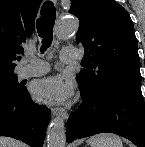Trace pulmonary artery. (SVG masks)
<instances>
[{
	"instance_id": "obj_1",
	"label": "pulmonary artery",
	"mask_w": 145,
	"mask_h": 147,
	"mask_svg": "<svg viewBox=\"0 0 145 147\" xmlns=\"http://www.w3.org/2000/svg\"><path fill=\"white\" fill-rule=\"evenodd\" d=\"M80 52L74 48H65L61 51L60 61L62 63H70L77 60ZM50 70L47 62L42 61L31 55L24 58L23 66L19 71L20 77H32L46 74Z\"/></svg>"
}]
</instances>
